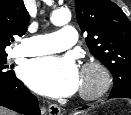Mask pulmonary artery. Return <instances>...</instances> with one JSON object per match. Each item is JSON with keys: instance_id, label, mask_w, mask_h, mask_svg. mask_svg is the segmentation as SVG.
<instances>
[{"instance_id": "obj_1", "label": "pulmonary artery", "mask_w": 131, "mask_h": 115, "mask_svg": "<svg viewBox=\"0 0 131 115\" xmlns=\"http://www.w3.org/2000/svg\"><path fill=\"white\" fill-rule=\"evenodd\" d=\"M77 41V32L72 26H65L61 30L47 34L37 35L22 40L21 45L15 49L16 56H39L65 50Z\"/></svg>"}]
</instances>
